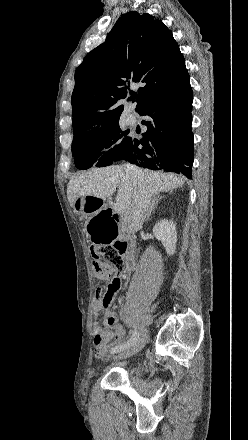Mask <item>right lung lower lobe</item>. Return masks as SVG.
I'll list each match as a JSON object with an SVG mask.
<instances>
[{"mask_svg":"<svg viewBox=\"0 0 248 440\" xmlns=\"http://www.w3.org/2000/svg\"><path fill=\"white\" fill-rule=\"evenodd\" d=\"M192 88L189 78L172 90L146 100L137 112L146 116L147 131L131 137L120 160L153 170L182 173L192 178Z\"/></svg>","mask_w":248,"mask_h":440,"instance_id":"98d812e1","label":"right lung lower lobe"}]
</instances>
